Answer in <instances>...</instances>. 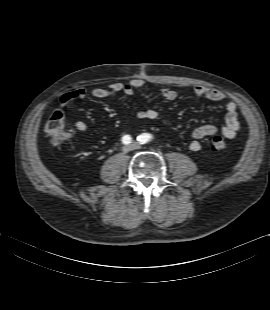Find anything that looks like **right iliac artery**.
I'll return each mask as SVG.
<instances>
[{
    "label": "right iliac artery",
    "mask_w": 270,
    "mask_h": 310,
    "mask_svg": "<svg viewBox=\"0 0 270 310\" xmlns=\"http://www.w3.org/2000/svg\"><path fill=\"white\" fill-rule=\"evenodd\" d=\"M131 141H132V138L129 135H125L122 137L123 144L127 145V144L131 143Z\"/></svg>",
    "instance_id": "1"
}]
</instances>
